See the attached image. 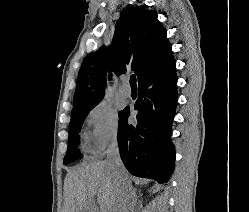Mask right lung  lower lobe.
<instances>
[{
	"label": "right lung lower lobe",
	"instance_id": "98d812e1",
	"mask_svg": "<svg viewBox=\"0 0 249 212\" xmlns=\"http://www.w3.org/2000/svg\"><path fill=\"white\" fill-rule=\"evenodd\" d=\"M176 63L173 54L139 81L134 109L137 124L129 125L130 108L120 113L118 145L128 171L138 177L168 181L175 160L171 126L177 103Z\"/></svg>",
	"mask_w": 249,
	"mask_h": 212
}]
</instances>
